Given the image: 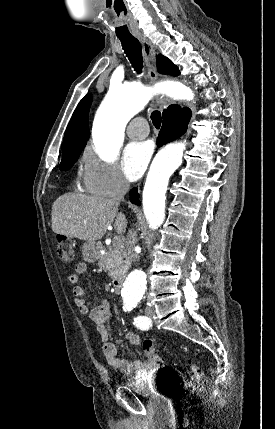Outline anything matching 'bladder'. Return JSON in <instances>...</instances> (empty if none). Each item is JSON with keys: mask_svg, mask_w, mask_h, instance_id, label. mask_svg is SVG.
Instances as JSON below:
<instances>
[{"mask_svg": "<svg viewBox=\"0 0 275 429\" xmlns=\"http://www.w3.org/2000/svg\"><path fill=\"white\" fill-rule=\"evenodd\" d=\"M128 386L139 398H149L150 403H177L180 398L178 377L131 378Z\"/></svg>", "mask_w": 275, "mask_h": 429, "instance_id": "1", "label": "bladder"}]
</instances>
